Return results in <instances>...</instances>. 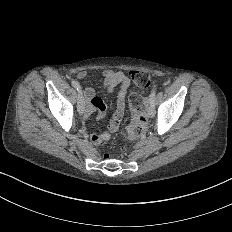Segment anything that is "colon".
Wrapping results in <instances>:
<instances>
[{
  "label": "colon",
  "instance_id": "5ec220e1",
  "mask_svg": "<svg viewBox=\"0 0 232 232\" xmlns=\"http://www.w3.org/2000/svg\"><path fill=\"white\" fill-rule=\"evenodd\" d=\"M131 78L140 87L152 86L157 81L155 71H135ZM152 91H157V86H152ZM132 110V122L126 129V137L130 141H137L143 136L147 127L148 106L139 95L132 93L128 97Z\"/></svg>",
  "mask_w": 232,
  "mask_h": 232
}]
</instances>
